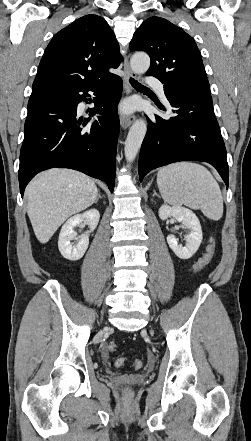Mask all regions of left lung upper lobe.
I'll return each mask as SVG.
<instances>
[{
    "label": "left lung upper lobe",
    "mask_w": 251,
    "mask_h": 441,
    "mask_svg": "<svg viewBox=\"0 0 251 441\" xmlns=\"http://www.w3.org/2000/svg\"><path fill=\"white\" fill-rule=\"evenodd\" d=\"M132 51H145L151 58L148 76L158 78L174 95L192 91L210 94L200 51L194 39L181 28L160 17H150L134 33Z\"/></svg>",
    "instance_id": "obj_1"
}]
</instances>
